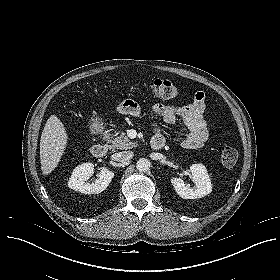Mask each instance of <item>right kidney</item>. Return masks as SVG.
<instances>
[{
  "label": "right kidney",
  "instance_id": "1",
  "mask_svg": "<svg viewBox=\"0 0 280 280\" xmlns=\"http://www.w3.org/2000/svg\"><path fill=\"white\" fill-rule=\"evenodd\" d=\"M94 165L92 163H83L77 166L68 181V186L84 194H99L104 191L110 184L114 173L106 168H102L99 178L94 183H88L86 180L92 176Z\"/></svg>",
  "mask_w": 280,
  "mask_h": 280
}]
</instances>
